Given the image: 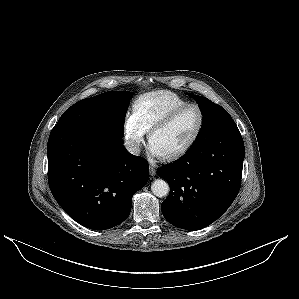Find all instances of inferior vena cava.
I'll return each mask as SVG.
<instances>
[{"mask_svg":"<svg viewBox=\"0 0 299 299\" xmlns=\"http://www.w3.org/2000/svg\"><path fill=\"white\" fill-rule=\"evenodd\" d=\"M124 146L133 155H138L140 153L139 143L137 142L126 141Z\"/></svg>","mask_w":299,"mask_h":299,"instance_id":"inferior-vena-cava-1","label":"inferior vena cava"}]
</instances>
